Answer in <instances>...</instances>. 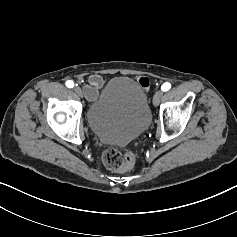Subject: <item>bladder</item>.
Masks as SVG:
<instances>
[{"instance_id": "bladder-1", "label": "bladder", "mask_w": 237, "mask_h": 237, "mask_svg": "<svg viewBox=\"0 0 237 237\" xmlns=\"http://www.w3.org/2000/svg\"><path fill=\"white\" fill-rule=\"evenodd\" d=\"M86 118L99 140L123 145L140 136L151 122L147 94L132 78L115 77L90 104Z\"/></svg>"}]
</instances>
